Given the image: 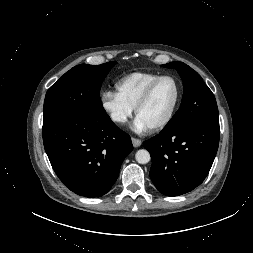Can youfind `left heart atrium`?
<instances>
[{"label": "left heart atrium", "instance_id": "1", "mask_svg": "<svg viewBox=\"0 0 253 253\" xmlns=\"http://www.w3.org/2000/svg\"><path fill=\"white\" fill-rule=\"evenodd\" d=\"M133 129L137 132H145L149 128L137 117L133 124Z\"/></svg>", "mask_w": 253, "mask_h": 253}]
</instances>
